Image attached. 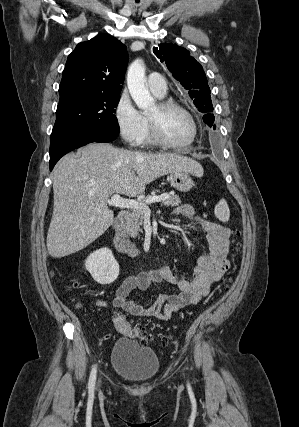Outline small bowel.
Listing matches in <instances>:
<instances>
[{
    "label": "small bowel",
    "mask_w": 299,
    "mask_h": 427,
    "mask_svg": "<svg viewBox=\"0 0 299 427\" xmlns=\"http://www.w3.org/2000/svg\"><path fill=\"white\" fill-rule=\"evenodd\" d=\"M173 216L196 221L204 230L208 241V251L199 256L190 279L177 277L167 265L124 279L116 290L113 306L125 312L143 318L169 320L174 313L185 306L197 304L207 296L213 283L219 281L229 268L228 251L229 228L201 219L195 215L190 205H181L174 209ZM167 283L176 286L177 292L160 294L151 305H141L129 300L133 290H147L152 284ZM101 307H108L105 301L99 303Z\"/></svg>",
    "instance_id": "c3829d8e"
}]
</instances>
